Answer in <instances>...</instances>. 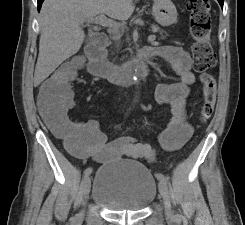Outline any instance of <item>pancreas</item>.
Wrapping results in <instances>:
<instances>
[{
    "label": "pancreas",
    "mask_w": 245,
    "mask_h": 225,
    "mask_svg": "<svg viewBox=\"0 0 245 225\" xmlns=\"http://www.w3.org/2000/svg\"><path fill=\"white\" fill-rule=\"evenodd\" d=\"M152 30L154 31V32H160V33H163V30H161L157 25H152Z\"/></svg>",
    "instance_id": "pancreas-1"
}]
</instances>
